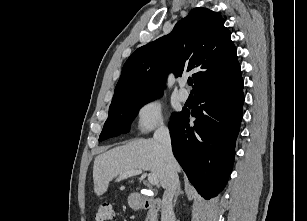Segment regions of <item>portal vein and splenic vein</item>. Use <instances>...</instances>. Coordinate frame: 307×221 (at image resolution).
Segmentation results:
<instances>
[{
    "mask_svg": "<svg viewBox=\"0 0 307 221\" xmlns=\"http://www.w3.org/2000/svg\"><path fill=\"white\" fill-rule=\"evenodd\" d=\"M139 174H142V170H132V171H127V172L120 174L119 178L124 179V178H128V177H131V176L139 175ZM148 181L152 185H158V183H159V180H158L156 174H154V173L148 174Z\"/></svg>",
    "mask_w": 307,
    "mask_h": 221,
    "instance_id": "18ae733b",
    "label": "portal vein and splenic vein"
}]
</instances>
